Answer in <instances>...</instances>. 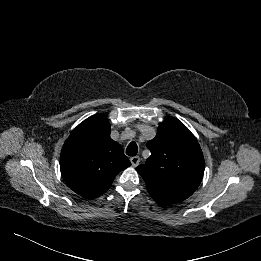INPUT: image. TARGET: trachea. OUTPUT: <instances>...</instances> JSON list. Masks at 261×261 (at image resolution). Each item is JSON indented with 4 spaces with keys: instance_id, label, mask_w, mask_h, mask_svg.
Wrapping results in <instances>:
<instances>
[{
    "instance_id": "1",
    "label": "trachea",
    "mask_w": 261,
    "mask_h": 261,
    "mask_svg": "<svg viewBox=\"0 0 261 261\" xmlns=\"http://www.w3.org/2000/svg\"><path fill=\"white\" fill-rule=\"evenodd\" d=\"M137 152H138V146L134 141H132L126 149V154L128 156H135Z\"/></svg>"
}]
</instances>
